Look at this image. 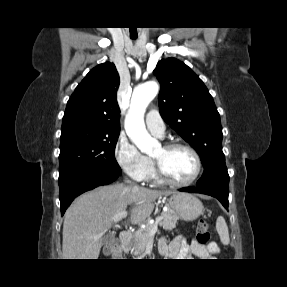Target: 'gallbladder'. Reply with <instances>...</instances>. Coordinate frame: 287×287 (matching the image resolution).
I'll use <instances>...</instances> for the list:
<instances>
[{
    "instance_id": "obj_1",
    "label": "gallbladder",
    "mask_w": 287,
    "mask_h": 287,
    "mask_svg": "<svg viewBox=\"0 0 287 287\" xmlns=\"http://www.w3.org/2000/svg\"><path fill=\"white\" fill-rule=\"evenodd\" d=\"M114 237H115L114 233L109 232V233L105 234L102 238V244L105 245V244L109 243L110 241H112L114 239Z\"/></svg>"
}]
</instances>
